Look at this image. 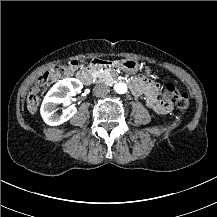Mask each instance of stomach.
Wrapping results in <instances>:
<instances>
[{"mask_svg": "<svg viewBox=\"0 0 217 217\" xmlns=\"http://www.w3.org/2000/svg\"><path fill=\"white\" fill-rule=\"evenodd\" d=\"M118 65L123 71H125L129 74H135L138 71L143 70V72L146 76L152 75V68L149 65L142 68L140 66V64L138 63V61L135 59H131V58L122 59L119 61Z\"/></svg>", "mask_w": 217, "mask_h": 217, "instance_id": "obj_1", "label": "stomach"}]
</instances>
